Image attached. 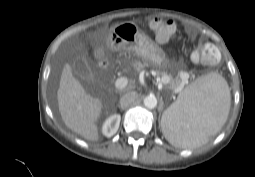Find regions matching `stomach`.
Listing matches in <instances>:
<instances>
[{
  "instance_id": "0dacf381",
  "label": "stomach",
  "mask_w": 255,
  "mask_h": 177,
  "mask_svg": "<svg viewBox=\"0 0 255 177\" xmlns=\"http://www.w3.org/2000/svg\"><path fill=\"white\" fill-rule=\"evenodd\" d=\"M108 43L113 50L132 52L160 68L169 66L163 50L134 22L115 25L109 32Z\"/></svg>"
}]
</instances>
